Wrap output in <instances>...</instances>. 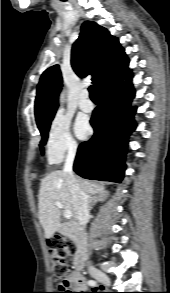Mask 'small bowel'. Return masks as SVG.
<instances>
[{
  "label": "small bowel",
  "mask_w": 170,
  "mask_h": 293,
  "mask_svg": "<svg viewBox=\"0 0 170 293\" xmlns=\"http://www.w3.org/2000/svg\"><path fill=\"white\" fill-rule=\"evenodd\" d=\"M70 280L74 289L83 290L86 288L84 279L77 272H73L70 275Z\"/></svg>",
  "instance_id": "obj_1"
}]
</instances>
